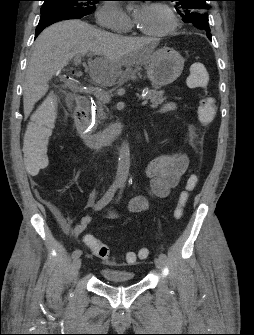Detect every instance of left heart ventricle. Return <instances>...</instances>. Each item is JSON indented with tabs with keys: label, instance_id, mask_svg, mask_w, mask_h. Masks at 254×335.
<instances>
[{
	"label": "left heart ventricle",
	"instance_id": "obj_1",
	"mask_svg": "<svg viewBox=\"0 0 254 335\" xmlns=\"http://www.w3.org/2000/svg\"><path fill=\"white\" fill-rule=\"evenodd\" d=\"M170 23V18L164 10L151 5L147 14L138 25L149 33H158L166 30L170 26Z\"/></svg>",
	"mask_w": 254,
	"mask_h": 335
}]
</instances>
